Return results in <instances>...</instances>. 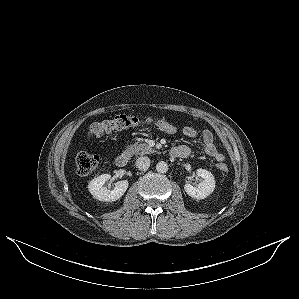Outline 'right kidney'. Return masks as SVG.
<instances>
[{
  "label": "right kidney",
  "mask_w": 299,
  "mask_h": 299,
  "mask_svg": "<svg viewBox=\"0 0 299 299\" xmlns=\"http://www.w3.org/2000/svg\"><path fill=\"white\" fill-rule=\"evenodd\" d=\"M111 176L109 174H102L88 184L89 192L93 197L99 201L112 202L121 198L128 188V181L122 180L115 183V188L113 190H108L104 184L106 181L110 180Z\"/></svg>",
  "instance_id": "ca27d5eb"
}]
</instances>
